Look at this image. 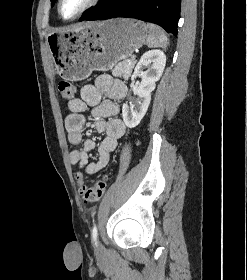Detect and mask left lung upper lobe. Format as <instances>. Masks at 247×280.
Masks as SVG:
<instances>
[{
    "mask_svg": "<svg viewBox=\"0 0 247 280\" xmlns=\"http://www.w3.org/2000/svg\"><path fill=\"white\" fill-rule=\"evenodd\" d=\"M51 1H54V0H51ZM109 0H101V2L97 5V6H95L94 8H96V7H98V6H102V5H104L105 3H107ZM93 8V9H94ZM92 9V10H93ZM91 11V10H90Z\"/></svg>",
    "mask_w": 247,
    "mask_h": 280,
    "instance_id": "5c2ea615",
    "label": "left lung upper lobe"
}]
</instances>
